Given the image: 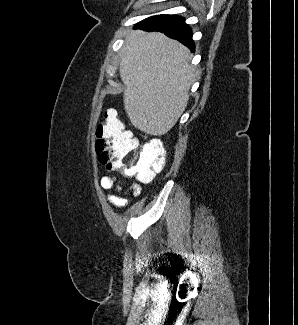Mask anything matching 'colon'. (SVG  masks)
Listing matches in <instances>:
<instances>
[{"mask_svg": "<svg viewBox=\"0 0 298 325\" xmlns=\"http://www.w3.org/2000/svg\"><path fill=\"white\" fill-rule=\"evenodd\" d=\"M95 146L107 171L125 182L147 183L165 165L161 149L157 153L153 152L151 145L138 149V138L125 127L123 119L115 111L106 112L104 121L98 124Z\"/></svg>", "mask_w": 298, "mask_h": 325, "instance_id": "1", "label": "colon"}]
</instances>
